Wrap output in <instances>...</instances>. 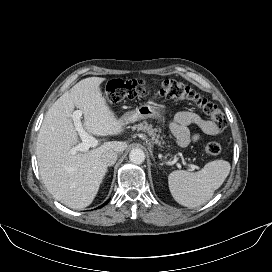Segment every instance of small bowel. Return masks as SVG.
Instances as JSON below:
<instances>
[{
	"instance_id": "obj_1",
	"label": "small bowel",
	"mask_w": 272,
	"mask_h": 272,
	"mask_svg": "<svg viewBox=\"0 0 272 272\" xmlns=\"http://www.w3.org/2000/svg\"><path fill=\"white\" fill-rule=\"evenodd\" d=\"M192 124L198 126L204 134H219L218 128L212 121L205 120L192 112H179L175 115L171 128L180 146H187L189 143L199 140L200 135H190L189 133L188 127Z\"/></svg>"
}]
</instances>
